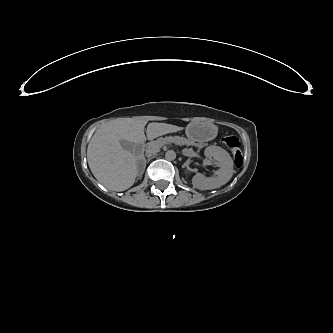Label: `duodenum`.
I'll list each match as a JSON object with an SVG mask.
<instances>
[{
	"label": "duodenum",
	"mask_w": 333,
	"mask_h": 333,
	"mask_svg": "<svg viewBox=\"0 0 333 333\" xmlns=\"http://www.w3.org/2000/svg\"><path fill=\"white\" fill-rule=\"evenodd\" d=\"M140 147H141V148H144V143L140 144Z\"/></svg>",
	"instance_id": "obj_1"
}]
</instances>
